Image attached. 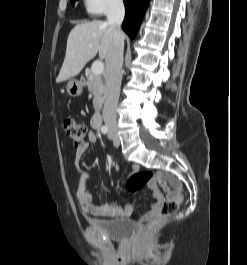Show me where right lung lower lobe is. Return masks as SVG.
<instances>
[{"label": "right lung lower lobe", "instance_id": "1", "mask_svg": "<svg viewBox=\"0 0 247 265\" xmlns=\"http://www.w3.org/2000/svg\"><path fill=\"white\" fill-rule=\"evenodd\" d=\"M125 4V18L123 30L133 39L141 24L142 18L150 0H123Z\"/></svg>", "mask_w": 247, "mask_h": 265}]
</instances>
